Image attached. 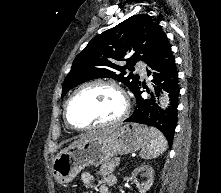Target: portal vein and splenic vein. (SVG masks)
I'll list each match as a JSON object with an SVG mask.
<instances>
[{
    "label": "portal vein and splenic vein",
    "instance_id": "obj_1",
    "mask_svg": "<svg viewBox=\"0 0 221 193\" xmlns=\"http://www.w3.org/2000/svg\"><path fill=\"white\" fill-rule=\"evenodd\" d=\"M119 164H120V162H119V161H117V162H116V166H119Z\"/></svg>",
    "mask_w": 221,
    "mask_h": 193
}]
</instances>
